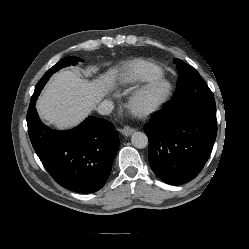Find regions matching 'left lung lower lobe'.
<instances>
[{
  "label": "left lung lower lobe",
  "instance_id": "obj_1",
  "mask_svg": "<svg viewBox=\"0 0 249 249\" xmlns=\"http://www.w3.org/2000/svg\"><path fill=\"white\" fill-rule=\"evenodd\" d=\"M148 159L165 183L181 185L194 179L207 162L217 134L216 105H195L180 111L166 107L144 126Z\"/></svg>",
  "mask_w": 249,
  "mask_h": 249
}]
</instances>
